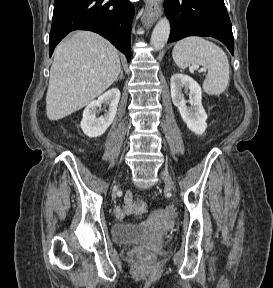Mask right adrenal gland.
I'll return each instance as SVG.
<instances>
[{
	"mask_svg": "<svg viewBox=\"0 0 273 288\" xmlns=\"http://www.w3.org/2000/svg\"><path fill=\"white\" fill-rule=\"evenodd\" d=\"M123 78H124V77H123V69H121V73H120V76L118 77V79L122 80ZM118 79H117V80H118ZM117 80H116V81H117Z\"/></svg>",
	"mask_w": 273,
	"mask_h": 288,
	"instance_id": "2a0ac1e0",
	"label": "right adrenal gland"
}]
</instances>
